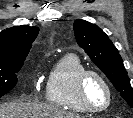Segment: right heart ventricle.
Listing matches in <instances>:
<instances>
[{"label":"right heart ventricle","mask_w":133,"mask_h":118,"mask_svg":"<svg viewBox=\"0 0 133 118\" xmlns=\"http://www.w3.org/2000/svg\"><path fill=\"white\" fill-rule=\"evenodd\" d=\"M85 70V64L75 54L69 53L59 58L47 77V101L69 111L88 112L77 93L78 78Z\"/></svg>","instance_id":"right-heart-ventricle-1"}]
</instances>
